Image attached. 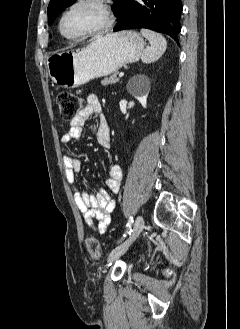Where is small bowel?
<instances>
[{
  "label": "small bowel",
  "mask_w": 240,
  "mask_h": 329,
  "mask_svg": "<svg viewBox=\"0 0 240 329\" xmlns=\"http://www.w3.org/2000/svg\"><path fill=\"white\" fill-rule=\"evenodd\" d=\"M94 115L99 117L96 140L102 148H110V128L102 115L101 101L95 94L87 97L85 107L71 120L69 130L61 137V143L68 145L73 140L81 138L83 126ZM80 168L81 163L77 157L70 154L64 156L65 175L70 183H74ZM121 179V168L117 164H112L105 178L106 187L100 188L94 194L74 189L76 205L82 212L85 223L94 231L102 234L106 232L111 222V214L115 209V203L110 198L109 192L117 193L120 190ZM95 220L98 222L95 223Z\"/></svg>",
  "instance_id": "obj_1"
}]
</instances>
